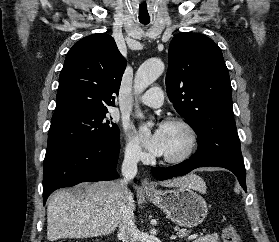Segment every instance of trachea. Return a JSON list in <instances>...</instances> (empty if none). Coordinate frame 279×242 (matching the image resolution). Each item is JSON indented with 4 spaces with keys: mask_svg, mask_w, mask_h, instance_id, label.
Returning a JSON list of instances; mask_svg holds the SVG:
<instances>
[{
    "mask_svg": "<svg viewBox=\"0 0 279 242\" xmlns=\"http://www.w3.org/2000/svg\"><path fill=\"white\" fill-rule=\"evenodd\" d=\"M149 22L150 21H140V23L143 24V25H147V24H149Z\"/></svg>",
    "mask_w": 279,
    "mask_h": 242,
    "instance_id": "1",
    "label": "trachea"
}]
</instances>
